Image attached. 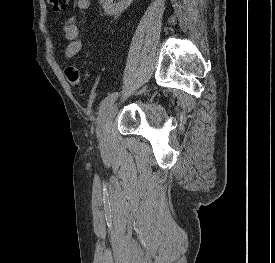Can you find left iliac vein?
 <instances>
[{
  "label": "left iliac vein",
  "mask_w": 275,
  "mask_h": 263,
  "mask_svg": "<svg viewBox=\"0 0 275 263\" xmlns=\"http://www.w3.org/2000/svg\"><path fill=\"white\" fill-rule=\"evenodd\" d=\"M117 108V104L111 105L98 124V138L101 144H106L109 141L112 121L117 112Z\"/></svg>",
  "instance_id": "left-iliac-vein-1"
}]
</instances>
